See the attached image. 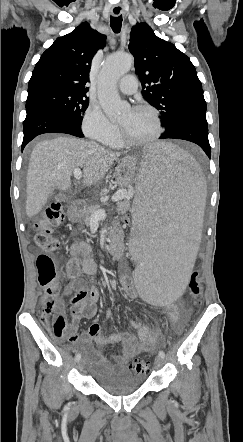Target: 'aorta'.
<instances>
[{
	"label": "aorta",
	"mask_w": 243,
	"mask_h": 442,
	"mask_svg": "<svg viewBox=\"0 0 243 442\" xmlns=\"http://www.w3.org/2000/svg\"><path fill=\"white\" fill-rule=\"evenodd\" d=\"M132 67L129 55L112 54L107 57L99 78L98 99L104 113L110 119L117 118L128 108L117 91V81Z\"/></svg>",
	"instance_id": "1"
}]
</instances>
